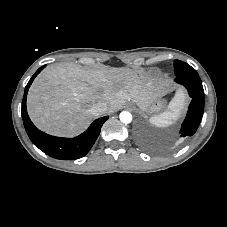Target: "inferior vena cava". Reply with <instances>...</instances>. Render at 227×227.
Returning a JSON list of instances; mask_svg holds the SVG:
<instances>
[{"label":"inferior vena cava","mask_w":227,"mask_h":227,"mask_svg":"<svg viewBox=\"0 0 227 227\" xmlns=\"http://www.w3.org/2000/svg\"><path fill=\"white\" fill-rule=\"evenodd\" d=\"M108 105L105 102H98L91 108V113L95 116L104 114L107 111Z\"/></svg>","instance_id":"1"}]
</instances>
